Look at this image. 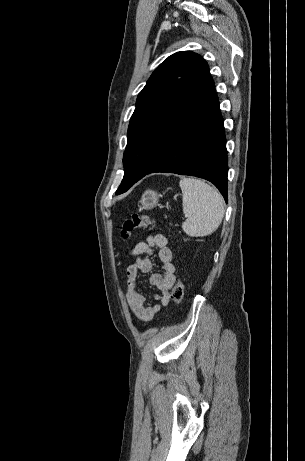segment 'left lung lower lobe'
I'll list each match as a JSON object with an SVG mask.
<instances>
[{"label": "left lung lower lobe", "mask_w": 305, "mask_h": 461, "mask_svg": "<svg viewBox=\"0 0 305 461\" xmlns=\"http://www.w3.org/2000/svg\"><path fill=\"white\" fill-rule=\"evenodd\" d=\"M154 172L207 179L227 202L224 123L209 71L156 135L151 164L138 180Z\"/></svg>", "instance_id": "0a47b994"}]
</instances>
